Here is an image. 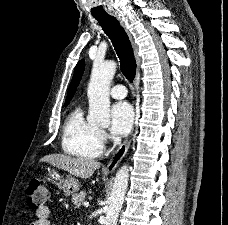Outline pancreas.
<instances>
[{
	"label": "pancreas",
	"mask_w": 228,
	"mask_h": 225,
	"mask_svg": "<svg viewBox=\"0 0 228 225\" xmlns=\"http://www.w3.org/2000/svg\"><path fill=\"white\" fill-rule=\"evenodd\" d=\"M85 197H86L85 191H80V193H76V195H73L72 197L73 205H77V207H80V205L84 203Z\"/></svg>",
	"instance_id": "pancreas-1"
}]
</instances>
